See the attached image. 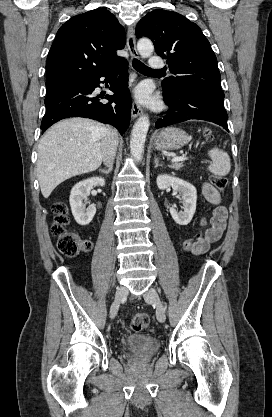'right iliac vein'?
Here are the masks:
<instances>
[{
	"instance_id": "63e3f726",
	"label": "right iliac vein",
	"mask_w": 272,
	"mask_h": 417,
	"mask_svg": "<svg viewBox=\"0 0 272 417\" xmlns=\"http://www.w3.org/2000/svg\"><path fill=\"white\" fill-rule=\"evenodd\" d=\"M128 295V290L125 287H119L116 290L115 299L110 307V317L115 318L118 313L121 301Z\"/></svg>"
}]
</instances>
